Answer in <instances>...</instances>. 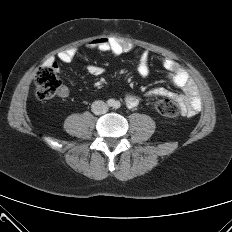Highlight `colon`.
Returning <instances> with one entry per match:
<instances>
[{
    "instance_id": "colon-1",
    "label": "colon",
    "mask_w": 232,
    "mask_h": 232,
    "mask_svg": "<svg viewBox=\"0 0 232 232\" xmlns=\"http://www.w3.org/2000/svg\"><path fill=\"white\" fill-rule=\"evenodd\" d=\"M36 96L40 100L50 99L61 92L59 81L52 65L42 66L35 76ZM155 110L162 116L168 118L177 117L181 108L178 102L169 98L158 99L155 102Z\"/></svg>"
}]
</instances>
